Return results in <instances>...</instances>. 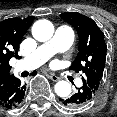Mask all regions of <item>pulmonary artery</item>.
<instances>
[{
	"label": "pulmonary artery",
	"mask_w": 117,
	"mask_h": 117,
	"mask_svg": "<svg viewBox=\"0 0 117 117\" xmlns=\"http://www.w3.org/2000/svg\"><path fill=\"white\" fill-rule=\"evenodd\" d=\"M74 41V33L67 25L59 26L53 37L40 45L32 54L23 58L20 64L23 69H34L47 62L54 54L68 50ZM81 85V79L77 80Z\"/></svg>",
	"instance_id": "e3ab8cb5"
}]
</instances>
